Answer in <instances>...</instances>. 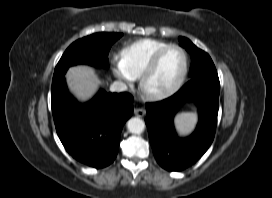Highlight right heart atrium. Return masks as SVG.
Listing matches in <instances>:
<instances>
[{"label":"right heart atrium","instance_id":"right-heart-atrium-1","mask_svg":"<svg viewBox=\"0 0 272 198\" xmlns=\"http://www.w3.org/2000/svg\"><path fill=\"white\" fill-rule=\"evenodd\" d=\"M111 69L114 75L126 86H130L136 81V77L128 70L120 57L112 58Z\"/></svg>","mask_w":272,"mask_h":198}]
</instances>
